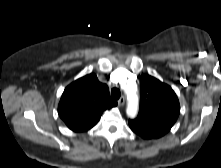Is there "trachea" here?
<instances>
[{
  "mask_svg": "<svg viewBox=\"0 0 221 168\" xmlns=\"http://www.w3.org/2000/svg\"><path fill=\"white\" fill-rule=\"evenodd\" d=\"M120 90L118 88H113L111 90V96L114 98V99H119L120 98Z\"/></svg>",
  "mask_w": 221,
  "mask_h": 168,
  "instance_id": "obj_1",
  "label": "trachea"
}]
</instances>
